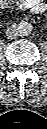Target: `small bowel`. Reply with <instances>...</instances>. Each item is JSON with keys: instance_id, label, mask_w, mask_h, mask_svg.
Wrapping results in <instances>:
<instances>
[{"instance_id": "small-bowel-1", "label": "small bowel", "mask_w": 47, "mask_h": 129, "mask_svg": "<svg viewBox=\"0 0 47 129\" xmlns=\"http://www.w3.org/2000/svg\"><path fill=\"white\" fill-rule=\"evenodd\" d=\"M15 0H2L4 6L11 5ZM17 6L21 9H27L32 13H42L46 9V4L43 0H18Z\"/></svg>"}]
</instances>
